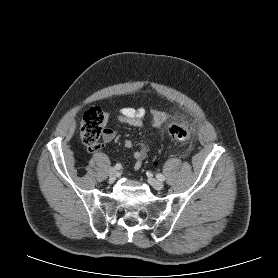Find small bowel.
<instances>
[{"instance_id":"small-bowel-1","label":"small bowel","mask_w":278,"mask_h":278,"mask_svg":"<svg viewBox=\"0 0 278 278\" xmlns=\"http://www.w3.org/2000/svg\"><path fill=\"white\" fill-rule=\"evenodd\" d=\"M145 115H146V110L143 107H124L118 111L116 115V119L120 122L127 123L131 126L137 128H143ZM151 116H152V125L155 128H159L168 118V115L164 111L156 110V109L151 111ZM107 121H108V117L105 118V123H107ZM115 136H116L115 131L106 125L103 131L104 142L106 143L111 142L115 138ZM124 147L126 149L131 148L132 142L129 139H126L124 141ZM147 154H148V149L145 146H142L141 148L137 149L134 152L133 166L135 169H139L141 167L143 161L147 157Z\"/></svg>"}]
</instances>
